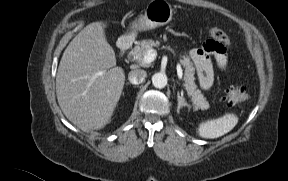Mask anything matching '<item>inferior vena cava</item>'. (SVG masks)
I'll return each instance as SVG.
<instances>
[{"mask_svg": "<svg viewBox=\"0 0 288 181\" xmlns=\"http://www.w3.org/2000/svg\"><path fill=\"white\" fill-rule=\"evenodd\" d=\"M146 77L147 72L141 69L132 70L128 74V80L135 85L142 83Z\"/></svg>", "mask_w": 288, "mask_h": 181, "instance_id": "602c4592", "label": "inferior vena cava"}]
</instances>
